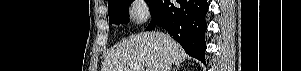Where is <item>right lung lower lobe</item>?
<instances>
[{
    "label": "right lung lower lobe",
    "instance_id": "obj_1",
    "mask_svg": "<svg viewBox=\"0 0 301 71\" xmlns=\"http://www.w3.org/2000/svg\"><path fill=\"white\" fill-rule=\"evenodd\" d=\"M156 0L152 8V22L146 30L156 25L166 29L184 48L185 52L205 63V32L208 12L207 0Z\"/></svg>",
    "mask_w": 301,
    "mask_h": 71
}]
</instances>
